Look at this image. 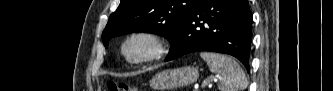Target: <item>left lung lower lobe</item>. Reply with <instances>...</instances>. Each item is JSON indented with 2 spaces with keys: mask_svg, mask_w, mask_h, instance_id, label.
<instances>
[{
  "mask_svg": "<svg viewBox=\"0 0 333 91\" xmlns=\"http://www.w3.org/2000/svg\"><path fill=\"white\" fill-rule=\"evenodd\" d=\"M252 13L248 0H199L177 35L165 61L188 53L211 51L230 54L249 72Z\"/></svg>",
  "mask_w": 333,
  "mask_h": 91,
  "instance_id": "left-lung-lower-lobe-1",
  "label": "left lung lower lobe"
}]
</instances>
